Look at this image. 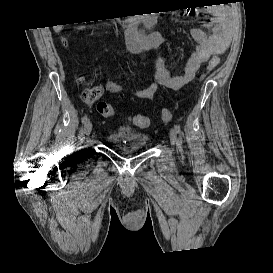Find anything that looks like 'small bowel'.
<instances>
[{
    "label": "small bowel",
    "mask_w": 273,
    "mask_h": 273,
    "mask_svg": "<svg viewBox=\"0 0 273 273\" xmlns=\"http://www.w3.org/2000/svg\"><path fill=\"white\" fill-rule=\"evenodd\" d=\"M200 11H196L198 14ZM206 21L202 28H193L191 35L196 41L195 50L185 60L180 69L168 68L160 60L154 61V82L141 90L133 92L139 99H152L157 89L164 86L173 90H179L195 77L201 63L208 61L213 55L224 53L230 43L233 29L232 18L223 7H209L205 10ZM211 31V34L208 33ZM166 37L162 35L151 36L144 41L135 36L129 41V48L137 54H145L148 50L162 46ZM105 88L112 94L125 92L118 83L111 80L105 81Z\"/></svg>",
    "instance_id": "obj_1"
}]
</instances>
